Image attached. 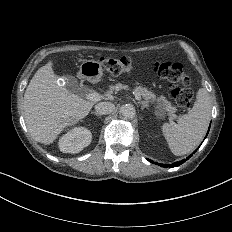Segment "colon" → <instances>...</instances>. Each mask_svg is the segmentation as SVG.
Masks as SVG:
<instances>
[{"label":"colon","mask_w":232,"mask_h":232,"mask_svg":"<svg viewBox=\"0 0 232 232\" xmlns=\"http://www.w3.org/2000/svg\"><path fill=\"white\" fill-rule=\"evenodd\" d=\"M124 56H106L108 65H104L103 69L109 73H130V65H126ZM154 74L158 78L165 77L167 82H173L176 89L174 102L175 111H190L192 105L191 94L196 91V86H191L187 74H183V68L179 64H171L167 67L163 62H158L154 66Z\"/></svg>","instance_id":"obj_1"}]
</instances>
